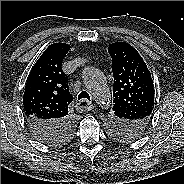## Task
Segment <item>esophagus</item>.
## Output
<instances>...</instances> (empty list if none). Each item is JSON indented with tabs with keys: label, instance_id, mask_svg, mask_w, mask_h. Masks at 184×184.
<instances>
[{
	"label": "esophagus",
	"instance_id": "34e87169",
	"mask_svg": "<svg viewBox=\"0 0 184 184\" xmlns=\"http://www.w3.org/2000/svg\"><path fill=\"white\" fill-rule=\"evenodd\" d=\"M76 107H77V110L81 112L91 111L94 108L91 102L86 101L85 99L78 101Z\"/></svg>",
	"mask_w": 184,
	"mask_h": 184
}]
</instances>
